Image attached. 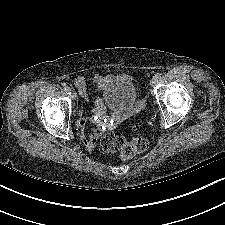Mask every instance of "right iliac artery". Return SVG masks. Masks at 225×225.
Listing matches in <instances>:
<instances>
[{"instance_id":"1","label":"right iliac artery","mask_w":225,"mask_h":225,"mask_svg":"<svg viewBox=\"0 0 225 225\" xmlns=\"http://www.w3.org/2000/svg\"><path fill=\"white\" fill-rule=\"evenodd\" d=\"M64 91H65L67 94H70L71 89H70L68 86H65V87H64Z\"/></svg>"}]
</instances>
